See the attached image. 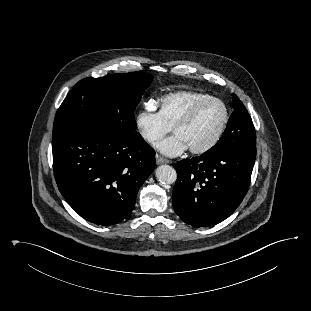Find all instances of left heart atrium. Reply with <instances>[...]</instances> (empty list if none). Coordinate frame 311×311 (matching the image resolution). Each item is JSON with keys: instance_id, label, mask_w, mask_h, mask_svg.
Listing matches in <instances>:
<instances>
[{"instance_id": "1", "label": "left heart atrium", "mask_w": 311, "mask_h": 311, "mask_svg": "<svg viewBox=\"0 0 311 311\" xmlns=\"http://www.w3.org/2000/svg\"><path fill=\"white\" fill-rule=\"evenodd\" d=\"M156 148L165 156L176 157L184 153L188 149V146L180 135L174 134L160 141L156 145Z\"/></svg>"}]
</instances>
